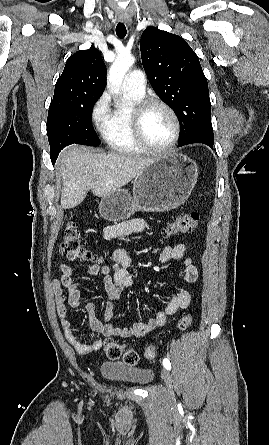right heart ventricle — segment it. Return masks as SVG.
<instances>
[{
  "label": "right heart ventricle",
  "mask_w": 269,
  "mask_h": 445,
  "mask_svg": "<svg viewBox=\"0 0 269 445\" xmlns=\"http://www.w3.org/2000/svg\"><path fill=\"white\" fill-rule=\"evenodd\" d=\"M129 105L110 112L101 124V134L108 146L116 152L127 155H142L145 151L136 143L131 124L133 106L142 96L125 91Z\"/></svg>",
  "instance_id": "right-heart-ventricle-1"
}]
</instances>
